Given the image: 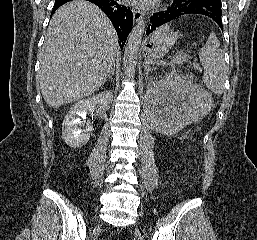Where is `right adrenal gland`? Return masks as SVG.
Wrapping results in <instances>:
<instances>
[{"instance_id": "obj_1", "label": "right adrenal gland", "mask_w": 257, "mask_h": 240, "mask_svg": "<svg viewBox=\"0 0 257 240\" xmlns=\"http://www.w3.org/2000/svg\"><path fill=\"white\" fill-rule=\"evenodd\" d=\"M113 75H114V71L109 75V77L106 79V81L109 80L110 82H112L113 81Z\"/></svg>"}]
</instances>
